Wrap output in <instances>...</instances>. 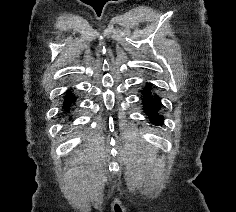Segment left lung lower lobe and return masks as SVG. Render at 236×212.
<instances>
[{
    "mask_svg": "<svg viewBox=\"0 0 236 212\" xmlns=\"http://www.w3.org/2000/svg\"><path fill=\"white\" fill-rule=\"evenodd\" d=\"M154 85L145 83L142 92L143 109L148 115L150 122L161 125L163 123V116L159 115L158 111L161 109V99L154 92Z\"/></svg>",
    "mask_w": 236,
    "mask_h": 212,
    "instance_id": "1",
    "label": "left lung lower lobe"
}]
</instances>
